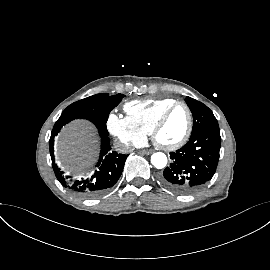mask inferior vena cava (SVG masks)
Segmentation results:
<instances>
[{"label": "inferior vena cava", "mask_w": 270, "mask_h": 270, "mask_svg": "<svg viewBox=\"0 0 270 270\" xmlns=\"http://www.w3.org/2000/svg\"><path fill=\"white\" fill-rule=\"evenodd\" d=\"M114 147L116 151L120 153H128L131 151V146L129 144L122 143L120 141H115Z\"/></svg>", "instance_id": "inferior-vena-cava-1"}]
</instances>
